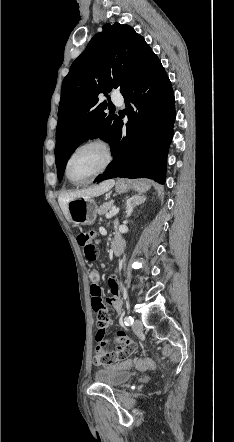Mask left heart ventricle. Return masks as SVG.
Instances as JSON below:
<instances>
[{"label":"left heart ventricle","mask_w":234,"mask_h":442,"mask_svg":"<svg viewBox=\"0 0 234 442\" xmlns=\"http://www.w3.org/2000/svg\"><path fill=\"white\" fill-rule=\"evenodd\" d=\"M105 156L101 148L90 146L79 150L70 161V175L76 181L91 177L102 166Z\"/></svg>","instance_id":"obj_1"}]
</instances>
